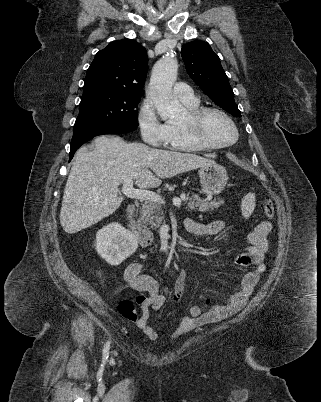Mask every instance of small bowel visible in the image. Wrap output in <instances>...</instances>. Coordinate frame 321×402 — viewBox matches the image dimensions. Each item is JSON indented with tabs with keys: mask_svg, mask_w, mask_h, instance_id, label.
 Here are the masks:
<instances>
[{
	"mask_svg": "<svg viewBox=\"0 0 321 402\" xmlns=\"http://www.w3.org/2000/svg\"><path fill=\"white\" fill-rule=\"evenodd\" d=\"M184 226L190 235L197 237L218 235L224 229V223L221 221L200 223L192 219H186ZM271 229L272 226L269 222H260L248 235L249 247L247 252L237 255V265L250 267V270L243 276L239 289L230 296L226 303L211 304L206 311H202L198 306L190 307L188 315L181 319L178 328L172 334V338L179 337L198 326L221 321L239 311L246 304L261 274L266 269L264 256L268 251L267 236ZM141 269L140 263H130L124 272L125 283L120 288H130L148 294L147 299L141 306L140 318L136 325L150 340H156L158 339V334L149 322L150 312L151 310H159L164 305L166 291L161 292L158 282L150 276L143 275ZM184 277V271H179L174 287V302L179 301L184 294ZM207 304H209L208 300Z\"/></svg>",
	"mask_w": 321,
	"mask_h": 402,
	"instance_id": "obj_1",
	"label": "small bowel"
}]
</instances>
